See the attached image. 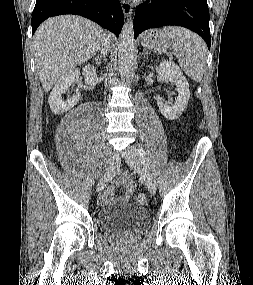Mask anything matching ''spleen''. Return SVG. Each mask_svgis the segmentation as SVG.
I'll list each match as a JSON object with an SVG mask.
<instances>
[{
    "label": "spleen",
    "mask_w": 253,
    "mask_h": 285,
    "mask_svg": "<svg viewBox=\"0 0 253 285\" xmlns=\"http://www.w3.org/2000/svg\"><path fill=\"white\" fill-rule=\"evenodd\" d=\"M163 32L172 39V47L178 53L180 67L192 80L200 82L207 59L204 41L182 27H164Z\"/></svg>",
    "instance_id": "3e777b00"
}]
</instances>
